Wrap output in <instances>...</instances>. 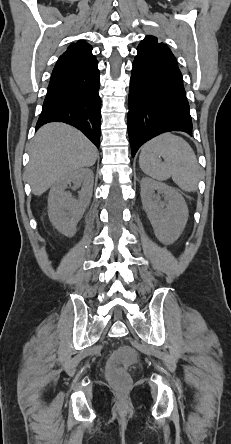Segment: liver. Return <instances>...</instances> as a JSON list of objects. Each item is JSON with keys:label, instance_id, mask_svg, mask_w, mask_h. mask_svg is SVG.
<instances>
[{"label": "liver", "instance_id": "6515ba94", "mask_svg": "<svg viewBox=\"0 0 231 444\" xmlns=\"http://www.w3.org/2000/svg\"><path fill=\"white\" fill-rule=\"evenodd\" d=\"M26 178L32 193L42 195L62 176L95 164L98 150L77 129L63 123L41 127L30 147Z\"/></svg>", "mask_w": 231, "mask_h": 444}]
</instances>
